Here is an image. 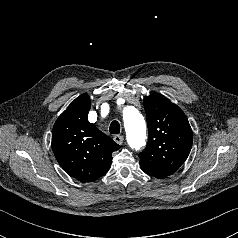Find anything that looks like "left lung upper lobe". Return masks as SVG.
I'll list each match as a JSON object with an SVG mask.
<instances>
[{
	"label": "left lung upper lobe",
	"mask_w": 238,
	"mask_h": 238,
	"mask_svg": "<svg viewBox=\"0 0 238 238\" xmlns=\"http://www.w3.org/2000/svg\"><path fill=\"white\" fill-rule=\"evenodd\" d=\"M148 125V144L139 154L142 170L162 179L186 161L193 134L184 112L161 94L143 100Z\"/></svg>",
	"instance_id": "5c2ea615"
}]
</instances>
